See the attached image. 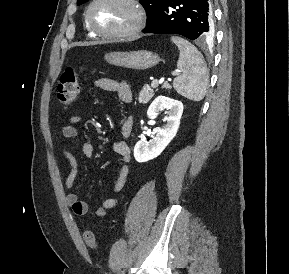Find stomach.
Masks as SVG:
<instances>
[{"label": "stomach", "mask_w": 289, "mask_h": 274, "mask_svg": "<svg viewBox=\"0 0 289 274\" xmlns=\"http://www.w3.org/2000/svg\"><path fill=\"white\" fill-rule=\"evenodd\" d=\"M105 60L113 65L144 70L157 65L160 57L151 51L111 52L105 54Z\"/></svg>", "instance_id": "stomach-1"}]
</instances>
